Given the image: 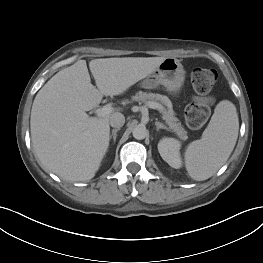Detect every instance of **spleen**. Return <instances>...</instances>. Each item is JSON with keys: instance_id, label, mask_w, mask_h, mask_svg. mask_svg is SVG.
Here are the masks:
<instances>
[{"instance_id": "spleen-1", "label": "spleen", "mask_w": 263, "mask_h": 263, "mask_svg": "<svg viewBox=\"0 0 263 263\" xmlns=\"http://www.w3.org/2000/svg\"><path fill=\"white\" fill-rule=\"evenodd\" d=\"M239 120L235 105L223 100L215 108L202 138L191 142L185 152V166L196 181L210 178L227 161L237 141Z\"/></svg>"}]
</instances>
